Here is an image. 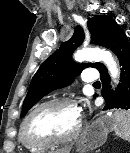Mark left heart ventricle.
I'll list each match as a JSON object with an SVG mask.
<instances>
[{"instance_id":"1","label":"left heart ventricle","mask_w":130,"mask_h":153,"mask_svg":"<svg viewBox=\"0 0 130 153\" xmlns=\"http://www.w3.org/2000/svg\"><path fill=\"white\" fill-rule=\"evenodd\" d=\"M79 113L67 105L48 106L30 120L27 131L34 138H62L70 135L78 123Z\"/></svg>"}]
</instances>
